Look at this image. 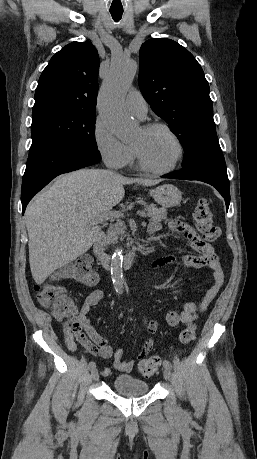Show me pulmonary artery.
<instances>
[{"mask_svg":"<svg viewBox=\"0 0 257 459\" xmlns=\"http://www.w3.org/2000/svg\"><path fill=\"white\" fill-rule=\"evenodd\" d=\"M125 108L131 114L144 118L147 113V103L138 90H131L125 99Z\"/></svg>","mask_w":257,"mask_h":459,"instance_id":"pulmonary-artery-1","label":"pulmonary artery"}]
</instances>
